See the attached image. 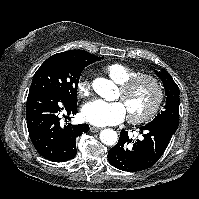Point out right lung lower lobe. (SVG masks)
<instances>
[{
  "label": "right lung lower lobe",
  "instance_id": "obj_1",
  "mask_svg": "<svg viewBox=\"0 0 199 199\" xmlns=\"http://www.w3.org/2000/svg\"><path fill=\"white\" fill-rule=\"evenodd\" d=\"M77 113V103H71L50 89L29 91L26 104L27 127L37 152L53 162L70 160L76 155V138L89 131L88 124L63 125L62 116Z\"/></svg>",
  "mask_w": 199,
  "mask_h": 199
}]
</instances>
